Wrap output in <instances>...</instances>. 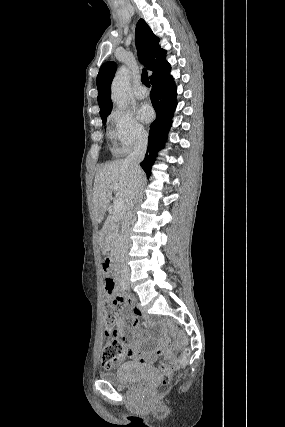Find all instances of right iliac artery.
Masks as SVG:
<instances>
[{
    "label": "right iliac artery",
    "mask_w": 285,
    "mask_h": 427,
    "mask_svg": "<svg viewBox=\"0 0 285 427\" xmlns=\"http://www.w3.org/2000/svg\"><path fill=\"white\" fill-rule=\"evenodd\" d=\"M121 287H122V289H123V290H125V289H126V284H125V282H124V281H122V282H121Z\"/></svg>",
    "instance_id": "1"
}]
</instances>
